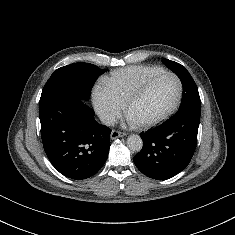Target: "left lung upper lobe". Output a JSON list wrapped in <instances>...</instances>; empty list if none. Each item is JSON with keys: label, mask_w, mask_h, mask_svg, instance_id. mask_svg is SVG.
I'll use <instances>...</instances> for the list:
<instances>
[{"label": "left lung upper lobe", "mask_w": 235, "mask_h": 235, "mask_svg": "<svg viewBox=\"0 0 235 235\" xmlns=\"http://www.w3.org/2000/svg\"><path fill=\"white\" fill-rule=\"evenodd\" d=\"M163 62L180 78L182 82V103L176 114L189 111L201 113V101L198 88L189 72L177 62L168 59H165Z\"/></svg>", "instance_id": "obj_1"}]
</instances>
